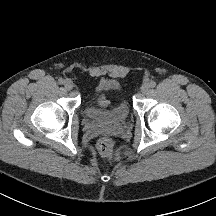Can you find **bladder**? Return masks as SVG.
<instances>
[{"mask_svg": "<svg viewBox=\"0 0 216 216\" xmlns=\"http://www.w3.org/2000/svg\"><path fill=\"white\" fill-rule=\"evenodd\" d=\"M120 86L109 80H100L85 105V115L88 119L101 124L119 126L126 122L129 116V107L124 97L115 96L114 103L105 110H99L94 106V98L100 92H108L116 95Z\"/></svg>", "mask_w": 216, "mask_h": 216, "instance_id": "1", "label": "bladder"}]
</instances>
